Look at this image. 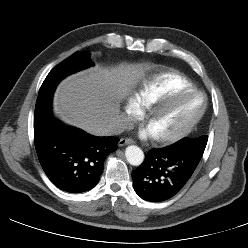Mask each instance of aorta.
I'll list each match as a JSON object with an SVG mask.
<instances>
[{"instance_id": "1", "label": "aorta", "mask_w": 248, "mask_h": 248, "mask_svg": "<svg viewBox=\"0 0 248 248\" xmlns=\"http://www.w3.org/2000/svg\"><path fill=\"white\" fill-rule=\"evenodd\" d=\"M125 157L131 165L139 166L144 160V153L138 146L131 145L126 148Z\"/></svg>"}]
</instances>
